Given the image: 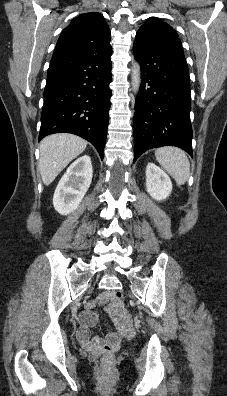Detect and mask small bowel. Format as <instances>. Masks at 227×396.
<instances>
[{
    "instance_id": "c3829d8e",
    "label": "small bowel",
    "mask_w": 227,
    "mask_h": 396,
    "mask_svg": "<svg viewBox=\"0 0 227 396\" xmlns=\"http://www.w3.org/2000/svg\"><path fill=\"white\" fill-rule=\"evenodd\" d=\"M97 305H102L105 311L111 316L114 330L110 331L104 339L100 335L90 336V327L98 320V313L95 311ZM80 327L78 329V339L90 349H101L116 345L122 337H132L135 333L133 320L122 304L115 300V293L106 291L99 295L94 301L87 304L85 311L79 316Z\"/></svg>"
}]
</instances>
